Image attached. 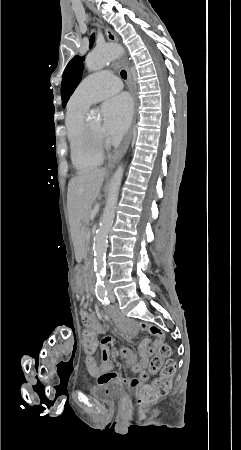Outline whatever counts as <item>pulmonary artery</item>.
I'll use <instances>...</instances> for the list:
<instances>
[{
    "label": "pulmonary artery",
    "mask_w": 241,
    "mask_h": 450,
    "mask_svg": "<svg viewBox=\"0 0 241 450\" xmlns=\"http://www.w3.org/2000/svg\"><path fill=\"white\" fill-rule=\"evenodd\" d=\"M82 84H86L85 87L78 89L72 100L92 105L113 97L117 88L121 86V79L110 76L106 69L98 71L95 75H89Z\"/></svg>",
    "instance_id": "1"
}]
</instances>
